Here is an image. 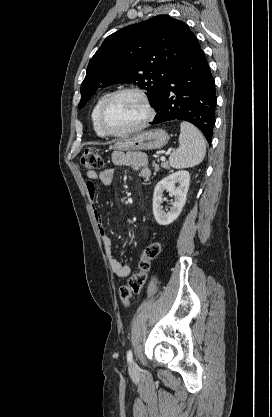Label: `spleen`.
<instances>
[{
    "mask_svg": "<svg viewBox=\"0 0 272 417\" xmlns=\"http://www.w3.org/2000/svg\"><path fill=\"white\" fill-rule=\"evenodd\" d=\"M206 154V142L202 133L192 124L180 125L179 148L169 157L171 167L175 169L194 167L200 164Z\"/></svg>",
    "mask_w": 272,
    "mask_h": 417,
    "instance_id": "spleen-1",
    "label": "spleen"
}]
</instances>
